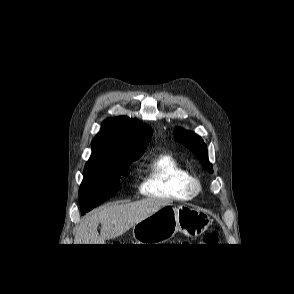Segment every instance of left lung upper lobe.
Returning <instances> with one entry per match:
<instances>
[{"label":"left lung upper lobe","mask_w":294,"mask_h":294,"mask_svg":"<svg viewBox=\"0 0 294 294\" xmlns=\"http://www.w3.org/2000/svg\"><path fill=\"white\" fill-rule=\"evenodd\" d=\"M175 139L183 143L187 148L192 150L199 162L209 172H213L212 164L208 160L207 147L202 138L193 132L177 128L175 130Z\"/></svg>","instance_id":"5c2ea615"}]
</instances>
